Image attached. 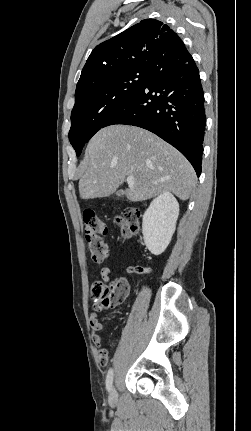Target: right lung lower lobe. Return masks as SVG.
<instances>
[{
	"instance_id": "obj_1",
	"label": "right lung lower lobe",
	"mask_w": 251,
	"mask_h": 431,
	"mask_svg": "<svg viewBox=\"0 0 251 431\" xmlns=\"http://www.w3.org/2000/svg\"><path fill=\"white\" fill-rule=\"evenodd\" d=\"M145 81L105 126L147 129L178 149L201 174L206 125L198 68L184 47L168 51L147 67Z\"/></svg>"
}]
</instances>
